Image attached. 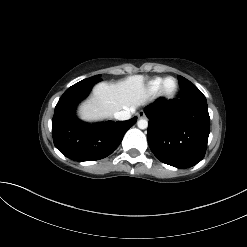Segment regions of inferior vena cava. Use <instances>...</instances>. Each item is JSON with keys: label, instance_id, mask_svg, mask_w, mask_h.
Returning <instances> with one entry per match:
<instances>
[{"label": "inferior vena cava", "instance_id": "1", "mask_svg": "<svg viewBox=\"0 0 247 247\" xmlns=\"http://www.w3.org/2000/svg\"><path fill=\"white\" fill-rule=\"evenodd\" d=\"M134 110L132 109H126V110H122V111H119V112H116L114 114V117L118 120H128L130 119L131 117V113L133 112Z\"/></svg>", "mask_w": 247, "mask_h": 247}]
</instances>
